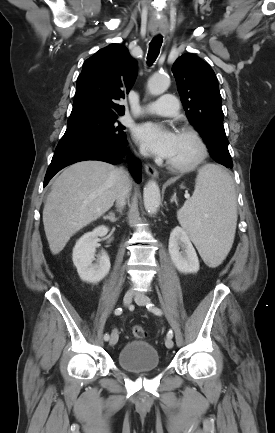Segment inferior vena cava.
I'll return each instance as SVG.
<instances>
[{
    "mask_svg": "<svg viewBox=\"0 0 275 433\" xmlns=\"http://www.w3.org/2000/svg\"><path fill=\"white\" fill-rule=\"evenodd\" d=\"M130 191V185L127 184L122 190L121 196L117 200V207L122 208L125 205V198Z\"/></svg>",
    "mask_w": 275,
    "mask_h": 433,
    "instance_id": "1",
    "label": "inferior vena cava"
}]
</instances>
